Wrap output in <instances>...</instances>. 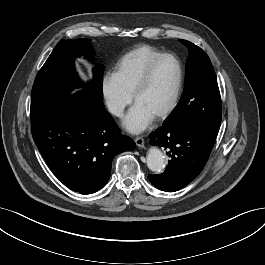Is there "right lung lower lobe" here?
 I'll return each mask as SVG.
<instances>
[{"label":"right lung lower lobe","mask_w":265,"mask_h":265,"mask_svg":"<svg viewBox=\"0 0 265 265\" xmlns=\"http://www.w3.org/2000/svg\"><path fill=\"white\" fill-rule=\"evenodd\" d=\"M36 146L54 175L81 194L100 190L109 180L113 158L135 148L120 134L101 99L81 90L31 125Z\"/></svg>","instance_id":"right-lung-lower-lobe-1"}]
</instances>
